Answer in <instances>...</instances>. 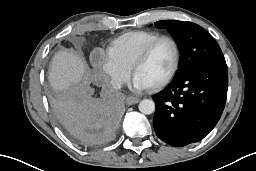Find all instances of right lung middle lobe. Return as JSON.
<instances>
[{
	"label": "right lung middle lobe",
	"instance_id": "obj_1",
	"mask_svg": "<svg viewBox=\"0 0 256 171\" xmlns=\"http://www.w3.org/2000/svg\"><path fill=\"white\" fill-rule=\"evenodd\" d=\"M75 96V93H73V91L71 92L70 91V93L68 94V99H66V102L69 100V99H71L72 97H74ZM61 105V104H60ZM60 105H58V106H60ZM63 105V104H62Z\"/></svg>",
	"mask_w": 256,
	"mask_h": 171
}]
</instances>
